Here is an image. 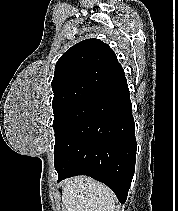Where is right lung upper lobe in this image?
<instances>
[{"instance_id": "right-lung-upper-lobe-1", "label": "right lung upper lobe", "mask_w": 178, "mask_h": 211, "mask_svg": "<svg viewBox=\"0 0 178 211\" xmlns=\"http://www.w3.org/2000/svg\"><path fill=\"white\" fill-rule=\"evenodd\" d=\"M126 85L123 68L109 45L87 39L72 46L57 61L52 106L79 100L97 102Z\"/></svg>"}]
</instances>
